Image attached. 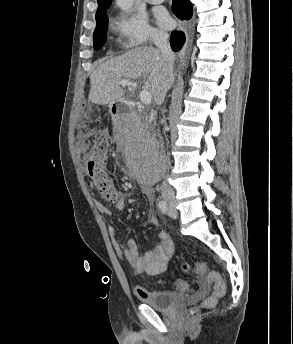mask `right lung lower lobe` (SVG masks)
<instances>
[{"label": "right lung lower lobe", "instance_id": "1", "mask_svg": "<svg viewBox=\"0 0 293 344\" xmlns=\"http://www.w3.org/2000/svg\"><path fill=\"white\" fill-rule=\"evenodd\" d=\"M173 13L181 20H189L192 17L193 9L190 0H173ZM185 43V34L182 31H173L170 45L173 51L181 50Z\"/></svg>", "mask_w": 293, "mask_h": 344}]
</instances>
